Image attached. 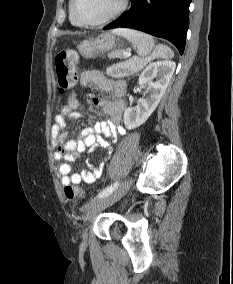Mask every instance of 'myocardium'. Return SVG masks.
<instances>
[{"instance_id":"myocardium-1","label":"myocardium","mask_w":233,"mask_h":284,"mask_svg":"<svg viewBox=\"0 0 233 284\" xmlns=\"http://www.w3.org/2000/svg\"><path fill=\"white\" fill-rule=\"evenodd\" d=\"M77 4H78V0H72L71 12H72L74 19L77 21V23L85 27H96V26L109 23L113 21L114 19H116L117 17H119L125 11L128 5V0H121L119 6L110 15L106 16L105 18L101 20L95 21V22H87V21L82 20L79 17L78 12H77Z\"/></svg>"}]
</instances>
